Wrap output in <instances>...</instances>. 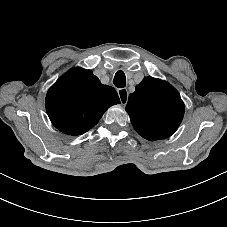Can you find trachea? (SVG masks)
<instances>
[{
    "instance_id": "trachea-1",
    "label": "trachea",
    "mask_w": 227,
    "mask_h": 227,
    "mask_svg": "<svg viewBox=\"0 0 227 227\" xmlns=\"http://www.w3.org/2000/svg\"><path fill=\"white\" fill-rule=\"evenodd\" d=\"M113 83L117 88H124L126 86V76L123 71L116 72Z\"/></svg>"
}]
</instances>
